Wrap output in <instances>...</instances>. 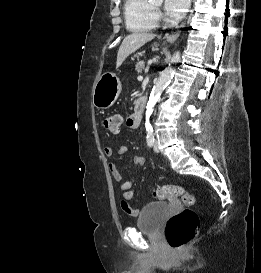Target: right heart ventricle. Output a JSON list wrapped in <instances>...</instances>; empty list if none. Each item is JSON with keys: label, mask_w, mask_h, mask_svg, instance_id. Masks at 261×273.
Segmentation results:
<instances>
[{"label": "right heart ventricle", "mask_w": 261, "mask_h": 273, "mask_svg": "<svg viewBox=\"0 0 261 273\" xmlns=\"http://www.w3.org/2000/svg\"><path fill=\"white\" fill-rule=\"evenodd\" d=\"M124 17L128 30L149 32L157 26V16L149 0H125Z\"/></svg>", "instance_id": "right-heart-ventricle-1"}]
</instances>
